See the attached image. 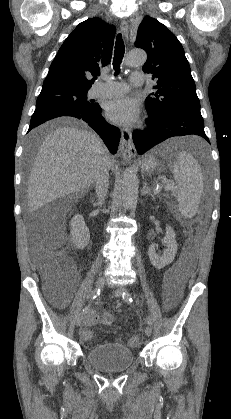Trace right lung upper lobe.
<instances>
[{"label":"right lung upper lobe","mask_w":231,"mask_h":419,"mask_svg":"<svg viewBox=\"0 0 231 419\" xmlns=\"http://www.w3.org/2000/svg\"><path fill=\"white\" fill-rule=\"evenodd\" d=\"M115 27L100 18L80 23L67 37L53 60L43 87L66 85L90 89L91 76L111 61Z\"/></svg>","instance_id":"cb5924a9"}]
</instances>
